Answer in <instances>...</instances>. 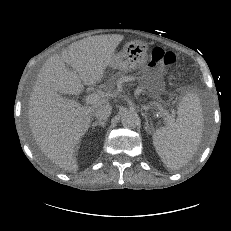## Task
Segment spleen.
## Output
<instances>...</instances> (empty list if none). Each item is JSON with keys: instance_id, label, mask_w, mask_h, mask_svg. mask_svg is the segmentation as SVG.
<instances>
[{"instance_id": "obj_1", "label": "spleen", "mask_w": 231, "mask_h": 231, "mask_svg": "<svg viewBox=\"0 0 231 231\" xmlns=\"http://www.w3.org/2000/svg\"><path fill=\"white\" fill-rule=\"evenodd\" d=\"M203 114L195 94H186L180 101L177 118L153 134V145L169 169L185 166L194 156L203 134Z\"/></svg>"}]
</instances>
